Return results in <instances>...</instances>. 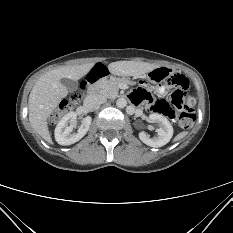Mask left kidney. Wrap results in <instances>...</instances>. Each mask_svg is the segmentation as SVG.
Masks as SVG:
<instances>
[{"instance_id": "left-kidney-1", "label": "left kidney", "mask_w": 233, "mask_h": 233, "mask_svg": "<svg viewBox=\"0 0 233 233\" xmlns=\"http://www.w3.org/2000/svg\"><path fill=\"white\" fill-rule=\"evenodd\" d=\"M151 122H156L159 129H156L158 137L151 139L145 132L139 133L140 140L150 147H162L167 144L173 136V127L166 117L152 113L149 115Z\"/></svg>"}]
</instances>
